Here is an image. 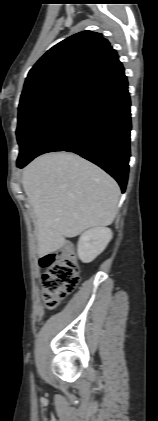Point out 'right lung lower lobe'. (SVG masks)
<instances>
[{
  "label": "right lung lower lobe",
  "mask_w": 158,
  "mask_h": 421,
  "mask_svg": "<svg viewBox=\"0 0 158 421\" xmlns=\"http://www.w3.org/2000/svg\"><path fill=\"white\" fill-rule=\"evenodd\" d=\"M130 97L124 68L114 61L87 80L42 130L23 168L53 151L79 154L109 173L125 191L130 158Z\"/></svg>",
  "instance_id": "right-lung-lower-lobe-1"
}]
</instances>
